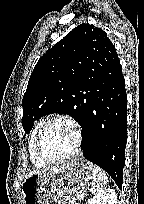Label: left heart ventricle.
Returning <instances> with one entry per match:
<instances>
[{"mask_svg":"<svg viewBox=\"0 0 144 204\" xmlns=\"http://www.w3.org/2000/svg\"><path fill=\"white\" fill-rule=\"evenodd\" d=\"M75 145L73 128L65 122H54L45 132L41 147L45 155L61 158L70 154Z\"/></svg>","mask_w":144,"mask_h":204,"instance_id":"obj_1","label":"left heart ventricle"}]
</instances>
